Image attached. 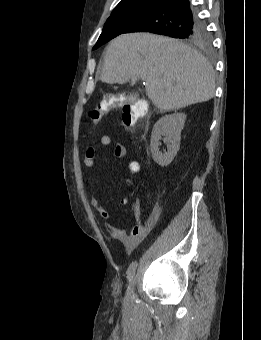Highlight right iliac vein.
I'll use <instances>...</instances> for the list:
<instances>
[{
  "instance_id": "1",
  "label": "right iliac vein",
  "mask_w": 261,
  "mask_h": 340,
  "mask_svg": "<svg viewBox=\"0 0 261 340\" xmlns=\"http://www.w3.org/2000/svg\"><path fill=\"white\" fill-rule=\"evenodd\" d=\"M135 283H136L135 278H133L132 281H131V283H130V287H129V289H128V292H127V297H130V296H131V294H132V292H133V289H134V287H135Z\"/></svg>"
}]
</instances>
